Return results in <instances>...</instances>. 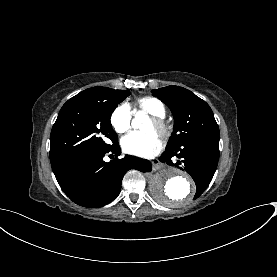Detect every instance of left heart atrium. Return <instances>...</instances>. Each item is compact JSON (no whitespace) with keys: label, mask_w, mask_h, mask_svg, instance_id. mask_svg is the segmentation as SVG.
Here are the masks:
<instances>
[{"label":"left heart atrium","mask_w":277,"mask_h":277,"mask_svg":"<svg viewBox=\"0 0 277 277\" xmlns=\"http://www.w3.org/2000/svg\"><path fill=\"white\" fill-rule=\"evenodd\" d=\"M121 146L127 153L151 157L161 149L162 141L157 133L153 131L132 132L121 139Z\"/></svg>","instance_id":"1"}]
</instances>
